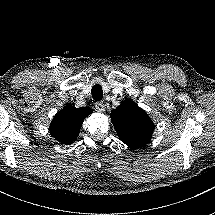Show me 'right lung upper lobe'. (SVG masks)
<instances>
[{"label": "right lung upper lobe", "mask_w": 215, "mask_h": 215, "mask_svg": "<svg viewBox=\"0 0 215 215\" xmlns=\"http://www.w3.org/2000/svg\"><path fill=\"white\" fill-rule=\"evenodd\" d=\"M91 113L92 109L89 107L66 105L53 118L50 134L62 144H71L78 137L84 119Z\"/></svg>", "instance_id": "right-lung-upper-lobe-1"}]
</instances>
